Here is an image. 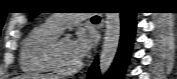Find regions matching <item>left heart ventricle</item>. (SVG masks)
I'll list each match as a JSON object with an SVG mask.
<instances>
[{
    "instance_id": "b2bd125f",
    "label": "left heart ventricle",
    "mask_w": 177,
    "mask_h": 79,
    "mask_svg": "<svg viewBox=\"0 0 177 79\" xmlns=\"http://www.w3.org/2000/svg\"><path fill=\"white\" fill-rule=\"evenodd\" d=\"M58 56L60 64L65 69L74 68L79 64V61L73 54L72 51V41L69 38L60 39L58 45Z\"/></svg>"
}]
</instances>
